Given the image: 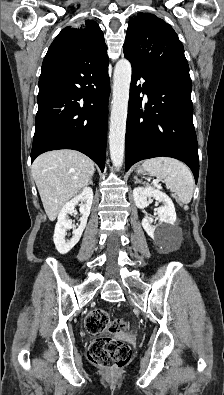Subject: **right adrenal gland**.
<instances>
[{
    "label": "right adrenal gland",
    "instance_id": "2a0ac1e0",
    "mask_svg": "<svg viewBox=\"0 0 224 395\" xmlns=\"http://www.w3.org/2000/svg\"><path fill=\"white\" fill-rule=\"evenodd\" d=\"M89 184L93 185V181H92V179L89 181Z\"/></svg>",
    "mask_w": 224,
    "mask_h": 395
}]
</instances>
